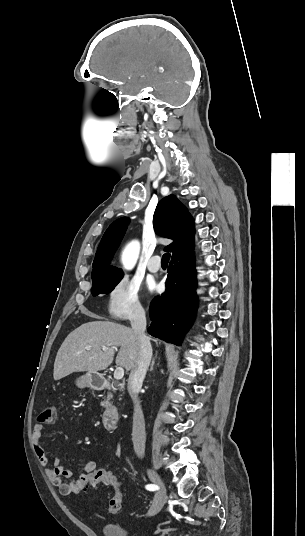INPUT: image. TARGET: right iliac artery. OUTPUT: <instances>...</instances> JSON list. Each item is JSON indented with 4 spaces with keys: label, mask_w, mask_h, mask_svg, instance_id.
I'll list each match as a JSON object with an SVG mask.
<instances>
[{
    "label": "right iliac artery",
    "mask_w": 305,
    "mask_h": 536,
    "mask_svg": "<svg viewBox=\"0 0 305 536\" xmlns=\"http://www.w3.org/2000/svg\"><path fill=\"white\" fill-rule=\"evenodd\" d=\"M146 489L149 490V491H155V490H158L159 487L155 484H148L146 485Z\"/></svg>",
    "instance_id": "82829eb1"
}]
</instances>
